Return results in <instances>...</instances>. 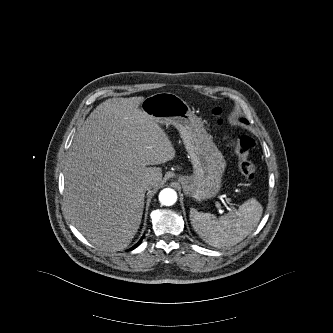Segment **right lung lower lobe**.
<instances>
[{"label": "right lung lower lobe", "mask_w": 333, "mask_h": 333, "mask_svg": "<svg viewBox=\"0 0 333 333\" xmlns=\"http://www.w3.org/2000/svg\"><path fill=\"white\" fill-rule=\"evenodd\" d=\"M141 241H142V239L135 246H133L130 250H133L134 248H136L141 243Z\"/></svg>", "instance_id": "obj_1"}]
</instances>
